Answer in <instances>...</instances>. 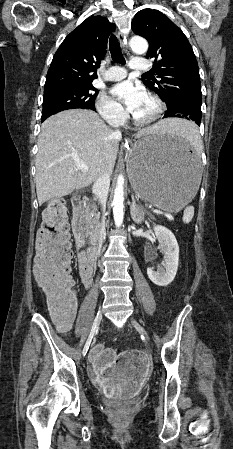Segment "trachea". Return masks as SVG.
Masks as SVG:
<instances>
[{
    "label": "trachea",
    "mask_w": 233,
    "mask_h": 449,
    "mask_svg": "<svg viewBox=\"0 0 233 449\" xmlns=\"http://www.w3.org/2000/svg\"><path fill=\"white\" fill-rule=\"evenodd\" d=\"M109 50L112 56V60L114 62H118L121 64H125V59L121 53V48L118 42V39L115 35H111L109 39ZM144 75H149L148 73Z\"/></svg>",
    "instance_id": "1"
}]
</instances>
